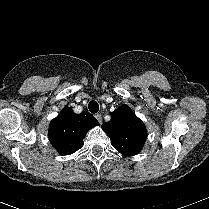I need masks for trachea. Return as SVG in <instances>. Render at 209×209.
Returning a JSON list of instances; mask_svg holds the SVG:
<instances>
[{"instance_id": "3493384b", "label": "trachea", "mask_w": 209, "mask_h": 209, "mask_svg": "<svg viewBox=\"0 0 209 209\" xmlns=\"http://www.w3.org/2000/svg\"><path fill=\"white\" fill-rule=\"evenodd\" d=\"M88 108L91 113H97L99 111V105L95 100L89 102Z\"/></svg>"}]
</instances>
